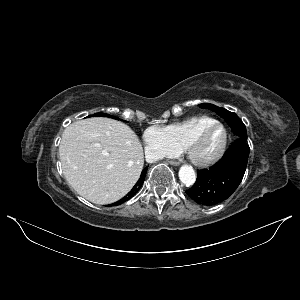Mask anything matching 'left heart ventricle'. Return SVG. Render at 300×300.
<instances>
[{
    "label": "left heart ventricle",
    "mask_w": 300,
    "mask_h": 300,
    "mask_svg": "<svg viewBox=\"0 0 300 300\" xmlns=\"http://www.w3.org/2000/svg\"><path fill=\"white\" fill-rule=\"evenodd\" d=\"M221 139L222 131L214 129L198 146L196 156L200 159H206L213 155L218 149Z\"/></svg>",
    "instance_id": "b2bd125f"
}]
</instances>
